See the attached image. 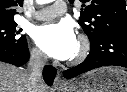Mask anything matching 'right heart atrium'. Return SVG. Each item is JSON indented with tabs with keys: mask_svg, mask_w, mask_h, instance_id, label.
Listing matches in <instances>:
<instances>
[{
	"mask_svg": "<svg viewBox=\"0 0 127 92\" xmlns=\"http://www.w3.org/2000/svg\"><path fill=\"white\" fill-rule=\"evenodd\" d=\"M30 56L31 59L36 62V63H42L45 60V56L42 53V51L37 48V47H33L30 51Z\"/></svg>",
	"mask_w": 127,
	"mask_h": 92,
	"instance_id": "obj_1",
	"label": "right heart atrium"
}]
</instances>
